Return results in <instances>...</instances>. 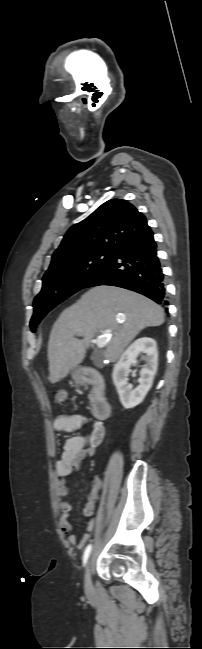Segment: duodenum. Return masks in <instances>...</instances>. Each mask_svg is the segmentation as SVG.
<instances>
[{
    "instance_id": "1",
    "label": "duodenum",
    "mask_w": 202,
    "mask_h": 649,
    "mask_svg": "<svg viewBox=\"0 0 202 649\" xmlns=\"http://www.w3.org/2000/svg\"><path fill=\"white\" fill-rule=\"evenodd\" d=\"M82 384H88L91 390V405L94 415L99 419H106L111 413V403L106 396V386L103 376L95 369L85 367L79 372Z\"/></svg>"
}]
</instances>
